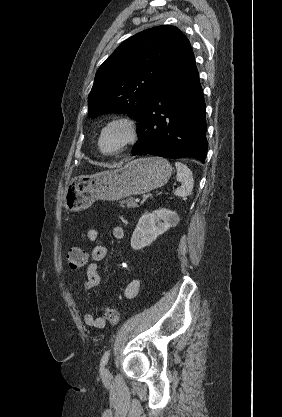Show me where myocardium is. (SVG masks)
<instances>
[{"instance_id":"myocardium-1","label":"myocardium","mask_w":282,"mask_h":417,"mask_svg":"<svg viewBox=\"0 0 282 417\" xmlns=\"http://www.w3.org/2000/svg\"><path fill=\"white\" fill-rule=\"evenodd\" d=\"M113 130H120L123 135L122 139L113 150L105 151L102 147V140L107 133ZM135 138H136V127H135L134 121L127 117H120V118L114 119L105 128H103L101 135H100L99 144L103 153L111 154V153H117L120 150H122L125 146L131 144L135 140Z\"/></svg>"}]
</instances>
